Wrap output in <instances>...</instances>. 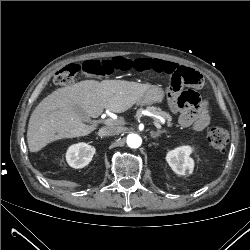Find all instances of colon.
<instances>
[{"instance_id": "1", "label": "colon", "mask_w": 250, "mask_h": 250, "mask_svg": "<svg viewBox=\"0 0 250 250\" xmlns=\"http://www.w3.org/2000/svg\"><path fill=\"white\" fill-rule=\"evenodd\" d=\"M134 60L126 59L124 57H117L112 60H90L83 64H69L60 68L54 74V82L60 86L70 85L75 81L77 74L83 71L85 74L97 77L107 76L114 71H128L133 69ZM201 75L192 68L180 67L177 71L171 74V87L179 89L182 85H188L192 88L186 89L181 93L180 101L182 104L196 108L201 103L199 93L194 90L201 84ZM207 139L212 148L216 150L224 149L229 141L228 132L219 126H214L209 129Z\"/></svg>"}]
</instances>
